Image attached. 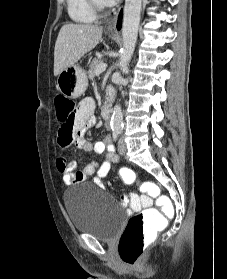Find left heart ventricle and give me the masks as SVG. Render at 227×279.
Segmentation results:
<instances>
[{"label":"left heart ventricle","instance_id":"b2bd125f","mask_svg":"<svg viewBox=\"0 0 227 279\" xmlns=\"http://www.w3.org/2000/svg\"><path fill=\"white\" fill-rule=\"evenodd\" d=\"M97 1H98V3L102 4L101 0H97Z\"/></svg>","mask_w":227,"mask_h":279}]
</instances>
